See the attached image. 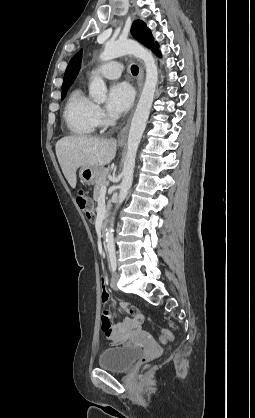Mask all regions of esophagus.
Instances as JSON below:
<instances>
[{
  "label": "esophagus",
  "instance_id": "1",
  "mask_svg": "<svg viewBox=\"0 0 255 418\" xmlns=\"http://www.w3.org/2000/svg\"><path fill=\"white\" fill-rule=\"evenodd\" d=\"M143 79H144V69H143V66L140 65V67H139V75H138V96H139V94L141 92V89H142V86H143ZM131 116H132V114L129 116V118L126 121V124L121 129V131H120V133L118 135V142H119V144H124L126 142L127 132H128V128H129Z\"/></svg>",
  "mask_w": 255,
  "mask_h": 418
}]
</instances>
